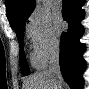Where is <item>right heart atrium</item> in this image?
<instances>
[{
	"label": "right heart atrium",
	"instance_id": "right-heart-atrium-1",
	"mask_svg": "<svg viewBox=\"0 0 89 89\" xmlns=\"http://www.w3.org/2000/svg\"><path fill=\"white\" fill-rule=\"evenodd\" d=\"M27 37L30 39L35 57L46 64L59 48V39L48 16L36 12L31 15L27 27Z\"/></svg>",
	"mask_w": 89,
	"mask_h": 89
}]
</instances>
